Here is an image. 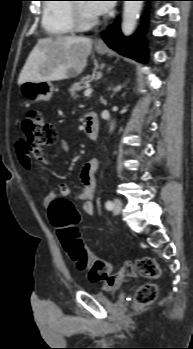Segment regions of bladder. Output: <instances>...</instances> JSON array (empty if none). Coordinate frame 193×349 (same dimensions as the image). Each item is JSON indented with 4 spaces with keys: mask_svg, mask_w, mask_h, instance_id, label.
Wrapping results in <instances>:
<instances>
[{
    "mask_svg": "<svg viewBox=\"0 0 193 349\" xmlns=\"http://www.w3.org/2000/svg\"><path fill=\"white\" fill-rule=\"evenodd\" d=\"M111 294H113V293H111ZM93 296L97 299V300H99V301H107V300H109V293L108 292H95V293H93Z\"/></svg>",
    "mask_w": 193,
    "mask_h": 349,
    "instance_id": "1",
    "label": "bladder"
}]
</instances>
